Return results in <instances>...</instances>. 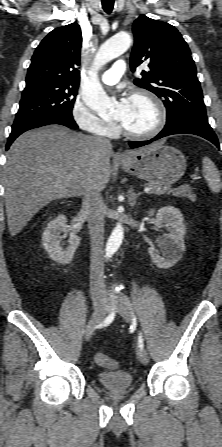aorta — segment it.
Returning <instances> with one entry per match:
<instances>
[{"label": "aorta", "mask_w": 222, "mask_h": 447, "mask_svg": "<svg viewBox=\"0 0 222 447\" xmlns=\"http://www.w3.org/2000/svg\"><path fill=\"white\" fill-rule=\"evenodd\" d=\"M132 42L127 32H119L108 39L99 49L94 63L92 76L85 81L82 99L87 107L102 116L114 107L113 101L106 95L97 81L96 71L107 62L119 57L128 50ZM124 236L121 223H117L106 244V255H113L120 247Z\"/></svg>", "instance_id": "obj_1"}]
</instances>
